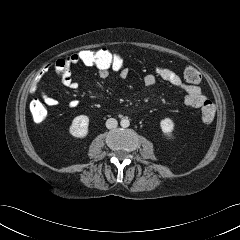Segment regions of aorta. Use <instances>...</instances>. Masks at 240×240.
Segmentation results:
<instances>
[{
  "mask_svg": "<svg viewBox=\"0 0 240 240\" xmlns=\"http://www.w3.org/2000/svg\"><path fill=\"white\" fill-rule=\"evenodd\" d=\"M121 127L127 128L130 125V121L127 118H123L120 122Z\"/></svg>",
  "mask_w": 240,
  "mask_h": 240,
  "instance_id": "aorta-1",
  "label": "aorta"
}]
</instances>
